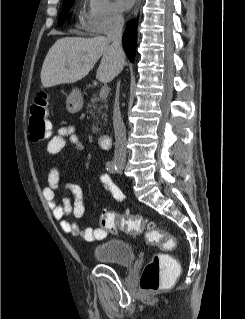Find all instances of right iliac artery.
<instances>
[{
    "mask_svg": "<svg viewBox=\"0 0 245 319\" xmlns=\"http://www.w3.org/2000/svg\"><path fill=\"white\" fill-rule=\"evenodd\" d=\"M106 169H107V171H109L112 174H115L117 172V166L113 161H108L106 163ZM120 194H121L120 197H117L116 199H118V200L123 199V194L121 191H120Z\"/></svg>",
    "mask_w": 245,
    "mask_h": 319,
    "instance_id": "82829eb1",
    "label": "right iliac artery"
}]
</instances>
